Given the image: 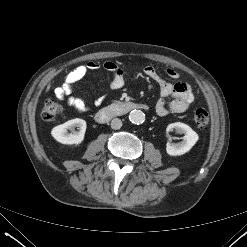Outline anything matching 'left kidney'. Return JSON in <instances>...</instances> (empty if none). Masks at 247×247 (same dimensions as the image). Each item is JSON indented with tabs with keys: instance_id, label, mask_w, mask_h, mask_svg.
I'll list each match as a JSON object with an SVG mask.
<instances>
[{
	"instance_id": "obj_1",
	"label": "left kidney",
	"mask_w": 247,
	"mask_h": 247,
	"mask_svg": "<svg viewBox=\"0 0 247 247\" xmlns=\"http://www.w3.org/2000/svg\"><path fill=\"white\" fill-rule=\"evenodd\" d=\"M175 130L177 133H184L183 141L180 143L172 144L170 138L166 144V151L170 156H181L190 151L199 139L198 134L188 125L175 122L167 126V133Z\"/></svg>"
}]
</instances>
